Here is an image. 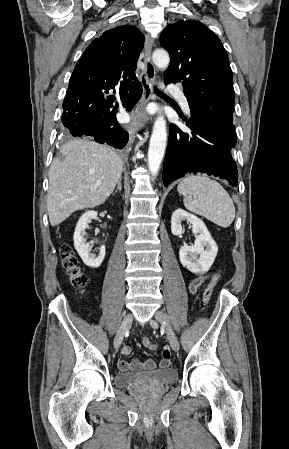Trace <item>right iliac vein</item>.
I'll list each match as a JSON object with an SVG mask.
<instances>
[{
    "instance_id": "1",
    "label": "right iliac vein",
    "mask_w": 289,
    "mask_h": 449,
    "mask_svg": "<svg viewBox=\"0 0 289 449\" xmlns=\"http://www.w3.org/2000/svg\"><path fill=\"white\" fill-rule=\"evenodd\" d=\"M132 320H133V317L130 313L124 317V319H123L122 323L120 324V327L116 333L115 339H114V348L115 349H119V347L123 341L124 335L132 323Z\"/></svg>"
}]
</instances>
